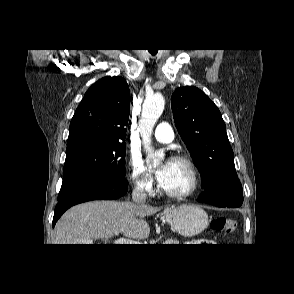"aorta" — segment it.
Segmentation results:
<instances>
[{"label": "aorta", "mask_w": 294, "mask_h": 294, "mask_svg": "<svg viewBox=\"0 0 294 294\" xmlns=\"http://www.w3.org/2000/svg\"><path fill=\"white\" fill-rule=\"evenodd\" d=\"M165 106V100L162 95L157 94L145 99L142 107L141 119L139 121L138 130L142 136L143 145L146 150L147 157L156 166L164 159L163 151H155L151 147V135L154 125L161 116Z\"/></svg>", "instance_id": "aorta-1"}]
</instances>
